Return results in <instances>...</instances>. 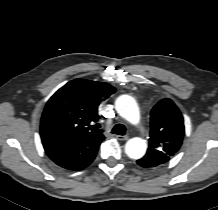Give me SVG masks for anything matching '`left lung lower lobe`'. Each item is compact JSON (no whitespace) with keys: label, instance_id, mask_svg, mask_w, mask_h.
I'll list each match as a JSON object with an SVG mask.
<instances>
[{"label":"left lung lower lobe","instance_id":"left-lung-lower-lobe-1","mask_svg":"<svg viewBox=\"0 0 218 210\" xmlns=\"http://www.w3.org/2000/svg\"><path fill=\"white\" fill-rule=\"evenodd\" d=\"M148 159L143 157L137 161V163L142 167H153L152 163L147 161Z\"/></svg>","mask_w":218,"mask_h":210}]
</instances>
